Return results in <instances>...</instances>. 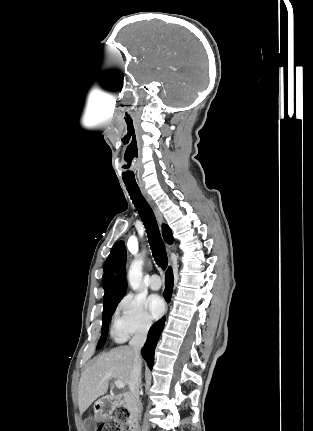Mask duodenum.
I'll list each match as a JSON object with an SVG mask.
<instances>
[{
  "label": "duodenum",
  "instance_id": "duodenum-1",
  "mask_svg": "<svg viewBox=\"0 0 313 431\" xmlns=\"http://www.w3.org/2000/svg\"><path fill=\"white\" fill-rule=\"evenodd\" d=\"M115 402L119 406H125L130 411L129 428L130 431H138L139 428V407L135 397L127 392L117 395Z\"/></svg>",
  "mask_w": 313,
  "mask_h": 431
}]
</instances>
